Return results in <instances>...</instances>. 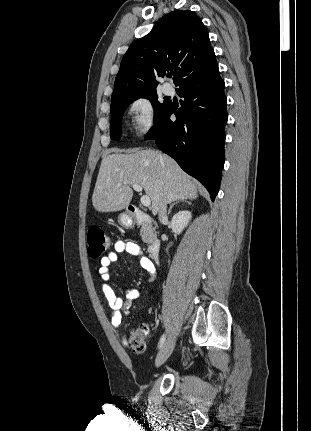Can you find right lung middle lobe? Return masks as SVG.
<instances>
[{
	"instance_id": "obj_1",
	"label": "right lung middle lobe",
	"mask_w": 311,
	"mask_h": 431,
	"mask_svg": "<svg viewBox=\"0 0 311 431\" xmlns=\"http://www.w3.org/2000/svg\"><path fill=\"white\" fill-rule=\"evenodd\" d=\"M138 98H147L152 102L154 108V119L160 116L171 104L170 101H164L163 103L158 101V95L156 90L141 92L133 95L121 96L111 99V131L110 136L112 139H118L121 136V121L123 113L127 108L128 104Z\"/></svg>"
}]
</instances>
